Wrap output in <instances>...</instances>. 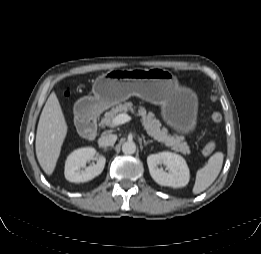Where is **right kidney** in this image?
<instances>
[{
    "label": "right kidney",
    "mask_w": 261,
    "mask_h": 254,
    "mask_svg": "<svg viewBox=\"0 0 261 254\" xmlns=\"http://www.w3.org/2000/svg\"><path fill=\"white\" fill-rule=\"evenodd\" d=\"M96 156V150L92 147L79 148L73 151L65 163V178L70 182L80 183L92 180L102 173L106 159L102 155L97 156V163L86 167L87 161Z\"/></svg>",
    "instance_id": "right-kidney-1"
}]
</instances>
